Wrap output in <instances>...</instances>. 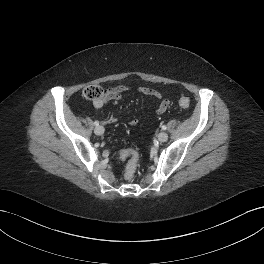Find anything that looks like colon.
<instances>
[{"instance_id":"5ec220e1","label":"colon","mask_w":264,"mask_h":264,"mask_svg":"<svg viewBox=\"0 0 264 264\" xmlns=\"http://www.w3.org/2000/svg\"><path fill=\"white\" fill-rule=\"evenodd\" d=\"M83 96L87 100L95 101L104 96V90L97 85H91L84 89ZM180 107L188 108L190 106V99L187 97H181L178 101ZM122 159H127V166L125 177L127 180H132L135 176L136 169L139 161V154L134 149H125L119 153Z\"/></svg>"}]
</instances>
